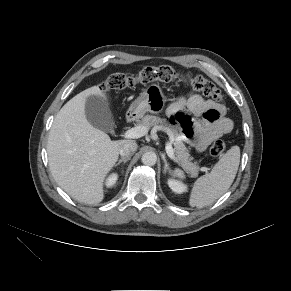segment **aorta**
I'll return each mask as SVG.
<instances>
[{
    "label": "aorta",
    "instance_id": "1",
    "mask_svg": "<svg viewBox=\"0 0 291 291\" xmlns=\"http://www.w3.org/2000/svg\"><path fill=\"white\" fill-rule=\"evenodd\" d=\"M141 160L144 165L153 166L157 161V156L153 152H146L142 155Z\"/></svg>",
    "mask_w": 291,
    "mask_h": 291
}]
</instances>
